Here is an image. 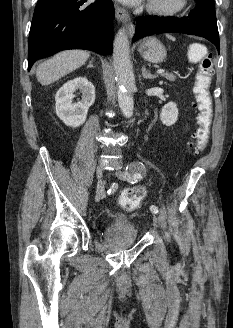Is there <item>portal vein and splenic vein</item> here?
Listing matches in <instances>:
<instances>
[{
    "mask_svg": "<svg viewBox=\"0 0 233 328\" xmlns=\"http://www.w3.org/2000/svg\"><path fill=\"white\" fill-rule=\"evenodd\" d=\"M164 72H165L164 69H159V70H157V73H158V74H162V73H164Z\"/></svg>",
    "mask_w": 233,
    "mask_h": 328,
    "instance_id": "18ae733b",
    "label": "portal vein and splenic vein"
}]
</instances>
